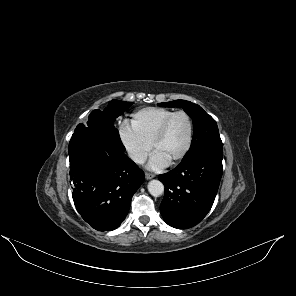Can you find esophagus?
<instances>
[{
	"label": "esophagus",
	"mask_w": 296,
	"mask_h": 296,
	"mask_svg": "<svg viewBox=\"0 0 296 296\" xmlns=\"http://www.w3.org/2000/svg\"><path fill=\"white\" fill-rule=\"evenodd\" d=\"M154 177H155V175L152 174V173H149V172H146V173H145V178H146L147 180H150V179H152V178H154Z\"/></svg>",
	"instance_id": "obj_1"
}]
</instances>
